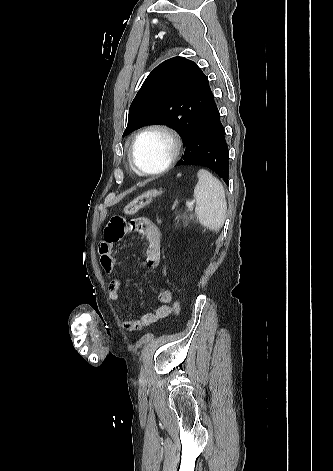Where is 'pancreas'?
I'll return each instance as SVG.
<instances>
[{
    "label": "pancreas",
    "mask_w": 333,
    "mask_h": 471,
    "mask_svg": "<svg viewBox=\"0 0 333 471\" xmlns=\"http://www.w3.org/2000/svg\"><path fill=\"white\" fill-rule=\"evenodd\" d=\"M194 222V215L192 213H178L176 215V223H182L183 225H188L189 223Z\"/></svg>",
    "instance_id": "obj_1"
}]
</instances>
